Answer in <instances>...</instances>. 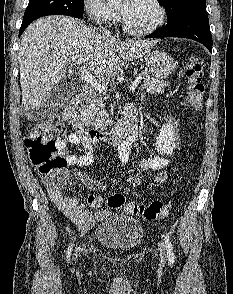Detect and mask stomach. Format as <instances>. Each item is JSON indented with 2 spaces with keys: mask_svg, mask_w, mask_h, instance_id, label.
I'll list each match as a JSON object with an SVG mask.
<instances>
[{
  "mask_svg": "<svg viewBox=\"0 0 233 294\" xmlns=\"http://www.w3.org/2000/svg\"><path fill=\"white\" fill-rule=\"evenodd\" d=\"M144 58L150 73L157 79L168 77L175 69L173 58L164 51L148 52Z\"/></svg>",
  "mask_w": 233,
  "mask_h": 294,
  "instance_id": "0dacf381",
  "label": "stomach"
}]
</instances>
